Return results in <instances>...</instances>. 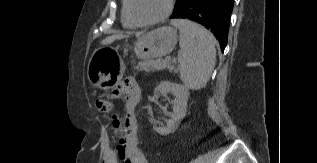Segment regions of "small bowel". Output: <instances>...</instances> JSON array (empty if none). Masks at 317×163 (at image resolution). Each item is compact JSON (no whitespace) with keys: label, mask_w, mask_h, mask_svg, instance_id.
Wrapping results in <instances>:
<instances>
[{"label":"small bowel","mask_w":317,"mask_h":163,"mask_svg":"<svg viewBox=\"0 0 317 163\" xmlns=\"http://www.w3.org/2000/svg\"><path fill=\"white\" fill-rule=\"evenodd\" d=\"M116 96L125 98L126 119L123 135L113 146L107 137L103 146L102 163H147L137 140V104L141 98L140 87L132 78L125 79L114 91Z\"/></svg>","instance_id":"small-bowel-1"}]
</instances>
